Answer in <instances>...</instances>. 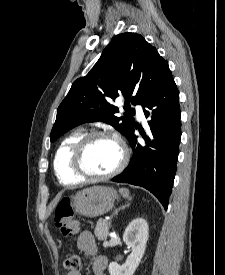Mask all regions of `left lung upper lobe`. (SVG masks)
Masks as SVG:
<instances>
[{"label":"left lung upper lobe","instance_id":"left-lung-upper-lobe-1","mask_svg":"<svg viewBox=\"0 0 225 275\" xmlns=\"http://www.w3.org/2000/svg\"><path fill=\"white\" fill-rule=\"evenodd\" d=\"M168 70L167 61L141 35L126 32L115 36L91 71L74 81L59 105L51 142L79 124L94 121L108 123L126 135L135 124V110L128 112L130 99L140 104ZM121 95L126 99V112L118 117V107L110 102Z\"/></svg>","mask_w":225,"mask_h":275}]
</instances>
